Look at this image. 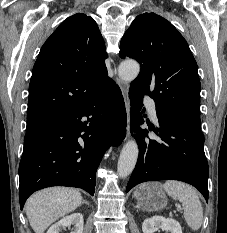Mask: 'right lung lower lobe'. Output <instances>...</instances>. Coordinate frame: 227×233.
<instances>
[{
	"instance_id": "98d812e1",
	"label": "right lung lower lobe",
	"mask_w": 227,
	"mask_h": 233,
	"mask_svg": "<svg viewBox=\"0 0 227 233\" xmlns=\"http://www.w3.org/2000/svg\"><path fill=\"white\" fill-rule=\"evenodd\" d=\"M125 134L124 101L113 80L87 104L27 131L19 164L20 208L33 192L51 186L78 187L94 195L103 153Z\"/></svg>"
}]
</instances>
